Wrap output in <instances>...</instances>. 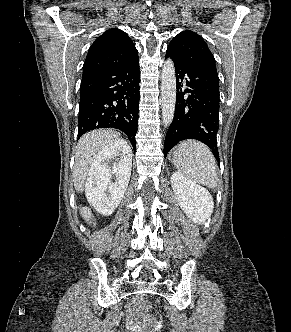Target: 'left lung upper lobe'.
I'll return each mask as SVG.
<instances>
[{"label":"left lung upper lobe","mask_w":291,"mask_h":332,"mask_svg":"<svg viewBox=\"0 0 291 332\" xmlns=\"http://www.w3.org/2000/svg\"><path fill=\"white\" fill-rule=\"evenodd\" d=\"M168 49L186 61L195 62L206 59L215 62L207 43L193 31L186 30L179 33L171 40Z\"/></svg>","instance_id":"1"}]
</instances>
